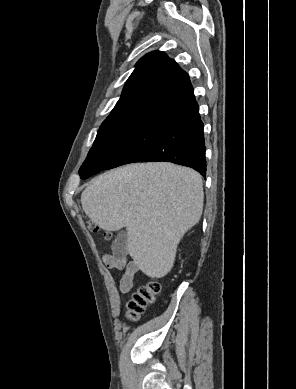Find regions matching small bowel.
I'll use <instances>...</instances> for the list:
<instances>
[{
	"mask_svg": "<svg viewBox=\"0 0 296 389\" xmlns=\"http://www.w3.org/2000/svg\"><path fill=\"white\" fill-rule=\"evenodd\" d=\"M105 262L111 268L124 270V274L120 280L119 288L123 293L128 292L133 287L134 278L138 272L137 263L133 261L128 262L125 257L116 258L111 255L105 258Z\"/></svg>",
	"mask_w": 296,
	"mask_h": 389,
	"instance_id": "c3829d8e",
	"label": "small bowel"
}]
</instances>
